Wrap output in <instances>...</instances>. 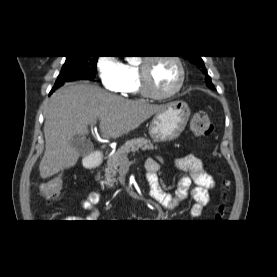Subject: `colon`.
<instances>
[{
  "label": "colon",
  "instance_id": "obj_1",
  "mask_svg": "<svg viewBox=\"0 0 277 277\" xmlns=\"http://www.w3.org/2000/svg\"><path fill=\"white\" fill-rule=\"evenodd\" d=\"M190 130L196 137L206 138L209 137L213 132V125L209 115L205 111H197L193 114L190 121ZM63 180L61 176H54L40 185V192L42 196L50 201L56 199L62 190ZM227 214V206L222 203L218 207V211L215 215L216 221H221Z\"/></svg>",
  "mask_w": 277,
  "mask_h": 277
}]
</instances>
